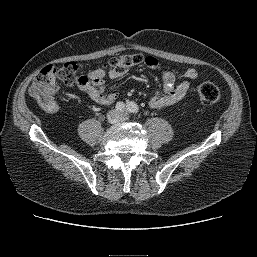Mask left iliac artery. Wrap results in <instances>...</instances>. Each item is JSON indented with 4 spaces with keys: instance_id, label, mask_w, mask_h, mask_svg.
Returning a JSON list of instances; mask_svg holds the SVG:
<instances>
[{
    "instance_id": "left-iliac-artery-1",
    "label": "left iliac artery",
    "mask_w": 257,
    "mask_h": 257,
    "mask_svg": "<svg viewBox=\"0 0 257 257\" xmlns=\"http://www.w3.org/2000/svg\"><path fill=\"white\" fill-rule=\"evenodd\" d=\"M126 110L131 112V113H138L139 107L134 102H128L127 105H126Z\"/></svg>"
}]
</instances>
